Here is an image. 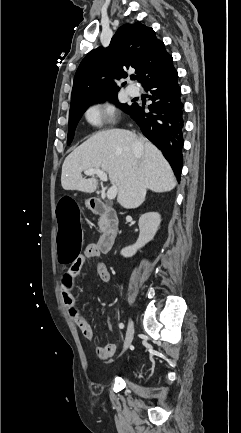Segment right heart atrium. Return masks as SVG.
Masks as SVG:
<instances>
[{
    "label": "right heart atrium",
    "mask_w": 241,
    "mask_h": 433,
    "mask_svg": "<svg viewBox=\"0 0 241 433\" xmlns=\"http://www.w3.org/2000/svg\"><path fill=\"white\" fill-rule=\"evenodd\" d=\"M113 116L110 105H93L85 113L86 120L93 125H101Z\"/></svg>",
    "instance_id": "obj_1"
}]
</instances>
